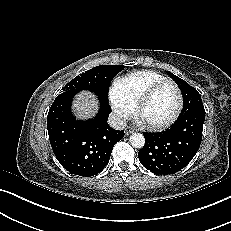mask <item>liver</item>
Returning <instances> with one entry per match:
<instances>
[{
  "instance_id": "obj_1",
  "label": "liver",
  "mask_w": 231,
  "mask_h": 231,
  "mask_svg": "<svg viewBox=\"0 0 231 231\" xmlns=\"http://www.w3.org/2000/svg\"><path fill=\"white\" fill-rule=\"evenodd\" d=\"M98 109L99 101L93 93L82 90L74 96L72 111L77 119H91L97 114Z\"/></svg>"
}]
</instances>
